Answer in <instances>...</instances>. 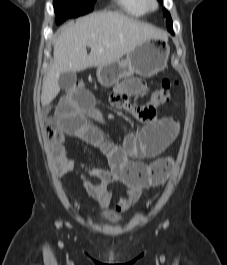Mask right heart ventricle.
<instances>
[{"label": "right heart ventricle", "instance_id": "right-heart-ventricle-1", "mask_svg": "<svg viewBox=\"0 0 227 265\" xmlns=\"http://www.w3.org/2000/svg\"><path fill=\"white\" fill-rule=\"evenodd\" d=\"M116 4L127 14L135 17L143 16L147 9L145 0H114Z\"/></svg>", "mask_w": 227, "mask_h": 265}]
</instances>
